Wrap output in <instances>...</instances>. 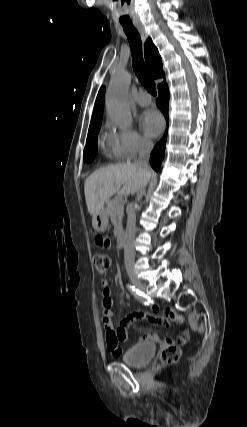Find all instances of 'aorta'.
Here are the masks:
<instances>
[{
    "label": "aorta",
    "instance_id": "obj_1",
    "mask_svg": "<svg viewBox=\"0 0 247 427\" xmlns=\"http://www.w3.org/2000/svg\"><path fill=\"white\" fill-rule=\"evenodd\" d=\"M131 75L126 70H117L106 93V109L108 117L118 125L130 127L132 115L127 105Z\"/></svg>",
    "mask_w": 247,
    "mask_h": 427
}]
</instances>
